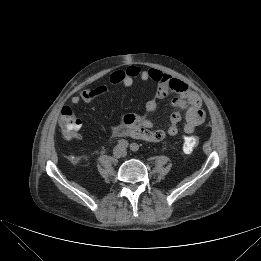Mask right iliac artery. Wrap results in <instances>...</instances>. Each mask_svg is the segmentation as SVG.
Listing matches in <instances>:
<instances>
[{
  "label": "right iliac artery",
  "mask_w": 261,
  "mask_h": 261,
  "mask_svg": "<svg viewBox=\"0 0 261 261\" xmlns=\"http://www.w3.org/2000/svg\"><path fill=\"white\" fill-rule=\"evenodd\" d=\"M129 143L127 140H124V139H120L118 140V146L121 147V148H126L128 147Z\"/></svg>",
  "instance_id": "right-iliac-artery-1"
}]
</instances>
